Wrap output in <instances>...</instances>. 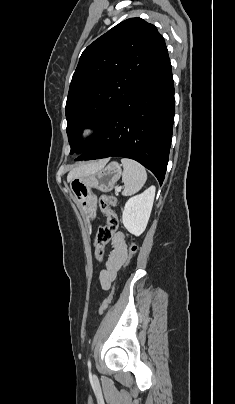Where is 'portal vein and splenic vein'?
<instances>
[{
  "label": "portal vein and splenic vein",
  "mask_w": 235,
  "mask_h": 404,
  "mask_svg": "<svg viewBox=\"0 0 235 404\" xmlns=\"http://www.w3.org/2000/svg\"><path fill=\"white\" fill-rule=\"evenodd\" d=\"M121 189H122V187L119 186V187L117 188V191L119 192V191H121Z\"/></svg>",
  "instance_id": "obj_1"
}]
</instances>
